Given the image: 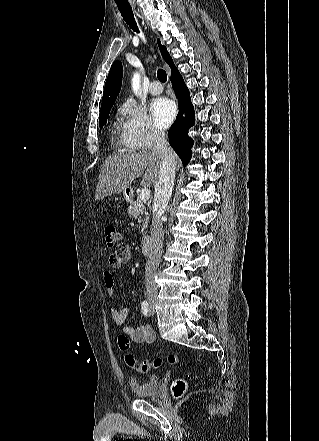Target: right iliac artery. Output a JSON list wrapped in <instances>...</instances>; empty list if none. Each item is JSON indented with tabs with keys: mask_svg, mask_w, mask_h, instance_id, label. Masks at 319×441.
<instances>
[{
	"mask_svg": "<svg viewBox=\"0 0 319 441\" xmlns=\"http://www.w3.org/2000/svg\"><path fill=\"white\" fill-rule=\"evenodd\" d=\"M141 311L144 316H148L149 306H148V302L145 300L141 304Z\"/></svg>",
	"mask_w": 319,
	"mask_h": 441,
	"instance_id": "1",
	"label": "right iliac artery"
}]
</instances>
